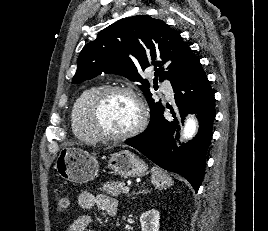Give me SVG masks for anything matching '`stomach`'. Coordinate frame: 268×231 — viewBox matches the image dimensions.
Wrapping results in <instances>:
<instances>
[{
	"mask_svg": "<svg viewBox=\"0 0 268 231\" xmlns=\"http://www.w3.org/2000/svg\"><path fill=\"white\" fill-rule=\"evenodd\" d=\"M108 168L112 173L124 178L141 177L147 173L146 163L128 150L111 154ZM55 169L64 180L72 183H86L93 180L99 171L97 158L88 151L76 147L60 151Z\"/></svg>",
	"mask_w": 268,
	"mask_h": 231,
	"instance_id": "0dacf381",
	"label": "stomach"
}]
</instances>
